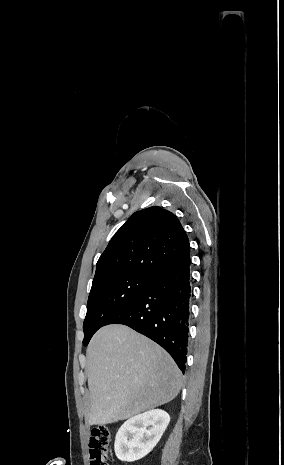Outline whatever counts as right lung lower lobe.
Segmentation results:
<instances>
[{"instance_id":"obj_1","label":"right lung lower lobe","mask_w":284,"mask_h":465,"mask_svg":"<svg viewBox=\"0 0 284 465\" xmlns=\"http://www.w3.org/2000/svg\"><path fill=\"white\" fill-rule=\"evenodd\" d=\"M188 254L151 282L106 323L124 324L162 346L184 373L192 290Z\"/></svg>"}]
</instances>
